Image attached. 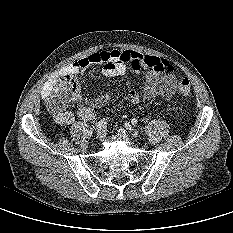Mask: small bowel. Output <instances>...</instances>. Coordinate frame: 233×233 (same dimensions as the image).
<instances>
[{
	"label": "small bowel",
	"mask_w": 233,
	"mask_h": 233,
	"mask_svg": "<svg viewBox=\"0 0 233 233\" xmlns=\"http://www.w3.org/2000/svg\"><path fill=\"white\" fill-rule=\"evenodd\" d=\"M91 65H102V73L106 77L122 76L128 69L137 73L143 72L142 91L131 89L128 93V100L132 104H138L143 99L154 97L168 100L175 95L178 89L174 68L168 60L131 50H102L64 66L59 71V75L62 79L66 76L84 74ZM58 82L59 80L46 84L41 95L49 105L55 120L61 125H69L76 118L92 120L95 116L94 108L105 105L113 93L110 90L95 98H85L79 95L77 101L84 105L79 107L75 113L64 109L55 110L52 107V97Z\"/></svg>",
	"instance_id": "obj_1"
}]
</instances>
